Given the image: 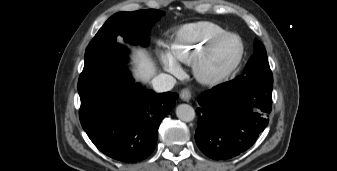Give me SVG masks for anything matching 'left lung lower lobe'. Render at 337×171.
I'll return each mask as SVG.
<instances>
[{
  "label": "left lung lower lobe",
  "instance_id": "left-lung-lower-lobe-1",
  "mask_svg": "<svg viewBox=\"0 0 337 171\" xmlns=\"http://www.w3.org/2000/svg\"><path fill=\"white\" fill-rule=\"evenodd\" d=\"M272 89L273 79L245 76L202 92L196 110L199 149L228 160L250 148L269 122Z\"/></svg>",
  "mask_w": 337,
  "mask_h": 171
}]
</instances>
